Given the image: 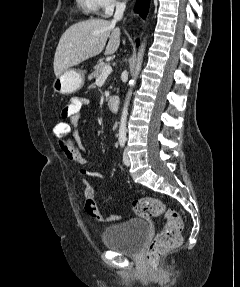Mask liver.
I'll list each match as a JSON object with an SVG mask.
<instances>
[{
  "label": "liver",
  "mask_w": 240,
  "mask_h": 287,
  "mask_svg": "<svg viewBox=\"0 0 240 287\" xmlns=\"http://www.w3.org/2000/svg\"><path fill=\"white\" fill-rule=\"evenodd\" d=\"M120 29L113 21L89 19L70 26L61 36L54 56V73L60 76L68 68L100 54L109 38L105 54L117 51Z\"/></svg>",
  "instance_id": "1"
}]
</instances>
